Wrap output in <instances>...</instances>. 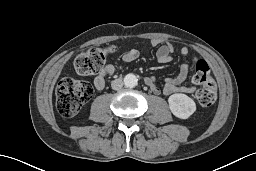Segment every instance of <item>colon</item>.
<instances>
[{
    "label": "colon",
    "instance_id": "obj_1",
    "mask_svg": "<svg viewBox=\"0 0 256 171\" xmlns=\"http://www.w3.org/2000/svg\"><path fill=\"white\" fill-rule=\"evenodd\" d=\"M112 52V47L90 48L75 58L74 69L83 76L98 74ZM193 81L202 86L196 93L198 102L204 107L212 106L216 100L217 88L210 68L204 60L197 61ZM92 95L93 88L89 83L64 78L56 88L57 108L63 116H73Z\"/></svg>",
    "mask_w": 256,
    "mask_h": 171
}]
</instances>
